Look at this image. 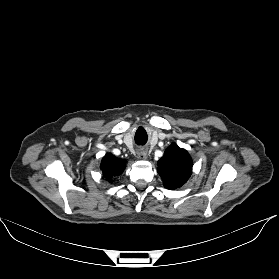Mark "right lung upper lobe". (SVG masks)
<instances>
[{
	"label": "right lung upper lobe",
	"instance_id": "1",
	"mask_svg": "<svg viewBox=\"0 0 279 279\" xmlns=\"http://www.w3.org/2000/svg\"><path fill=\"white\" fill-rule=\"evenodd\" d=\"M125 169V160L118 159L112 154L104 156L101 162V170L104 177L111 178L123 173Z\"/></svg>",
	"mask_w": 279,
	"mask_h": 279
}]
</instances>
